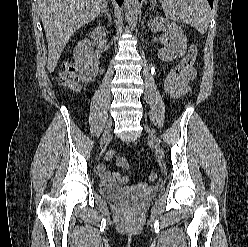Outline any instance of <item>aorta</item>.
<instances>
[{"mask_svg":"<svg viewBox=\"0 0 248 247\" xmlns=\"http://www.w3.org/2000/svg\"><path fill=\"white\" fill-rule=\"evenodd\" d=\"M124 7L129 25L136 26L140 9L139 0H125Z\"/></svg>","mask_w":248,"mask_h":247,"instance_id":"762f6f07","label":"aorta"}]
</instances>
